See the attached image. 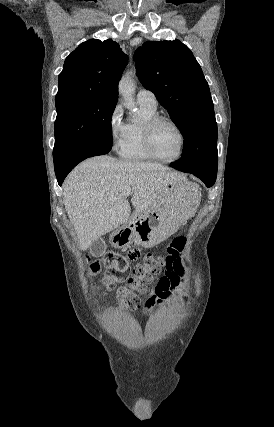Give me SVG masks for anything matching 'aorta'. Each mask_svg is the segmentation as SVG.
I'll return each mask as SVG.
<instances>
[{
  "mask_svg": "<svg viewBox=\"0 0 274 427\" xmlns=\"http://www.w3.org/2000/svg\"><path fill=\"white\" fill-rule=\"evenodd\" d=\"M118 91L124 100V106L131 111L134 107L135 92V82L132 73H127L121 78Z\"/></svg>",
  "mask_w": 274,
  "mask_h": 427,
  "instance_id": "1",
  "label": "aorta"
}]
</instances>
